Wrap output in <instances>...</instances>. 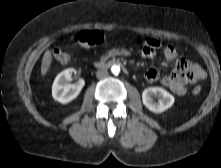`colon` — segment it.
Instances as JSON below:
<instances>
[{"label": "colon", "instance_id": "5ec220e1", "mask_svg": "<svg viewBox=\"0 0 221 168\" xmlns=\"http://www.w3.org/2000/svg\"><path fill=\"white\" fill-rule=\"evenodd\" d=\"M104 35L99 30L91 31H80L75 35V41L84 47H93L101 44L103 42ZM144 47H149L151 49H157L160 47V42L153 38L143 39ZM70 54L63 49V45H59L53 52V58L56 62L60 64H65L70 60ZM201 87L196 86L193 89L195 95L201 93Z\"/></svg>", "mask_w": 221, "mask_h": 168}]
</instances>
